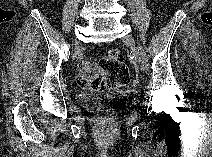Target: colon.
Returning a JSON list of instances; mask_svg holds the SVG:
<instances>
[{
	"label": "colon",
	"instance_id": "colon-1",
	"mask_svg": "<svg viewBox=\"0 0 212 157\" xmlns=\"http://www.w3.org/2000/svg\"><path fill=\"white\" fill-rule=\"evenodd\" d=\"M78 82L80 87L91 91L128 85L130 82V71L125 63L124 53L119 49L113 48L98 62L84 61Z\"/></svg>",
	"mask_w": 212,
	"mask_h": 157
}]
</instances>
